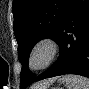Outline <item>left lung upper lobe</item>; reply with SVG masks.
Returning <instances> with one entry per match:
<instances>
[{"mask_svg":"<svg viewBox=\"0 0 89 89\" xmlns=\"http://www.w3.org/2000/svg\"><path fill=\"white\" fill-rule=\"evenodd\" d=\"M71 0H13L14 34L22 64L20 89L35 78L28 69L33 46L43 38L56 39Z\"/></svg>","mask_w":89,"mask_h":89,"instance_id":"obj_1","label":"left lung upper lobe"}]
</instances>
